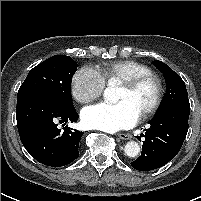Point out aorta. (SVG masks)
Instances as JSON below:
<instances>
[{"label":"aorta","mask_w":201,"mask_h":201,"mask_svg":"<svg viewBox=\"0 0 201 201\" xmlns=\"http://www.w3.org/2000/svg\"><path fill=\"white\" fill-rule=\"evenodd\" d=\"M104 98L107 101L114 102L116 100L115 89L111 86L107 87L104 90ZM124 151L128 157L134 158L140 153V146L135 141H129L126 143Z\"/></svg>","instance_id":"1"}]
</instances>
